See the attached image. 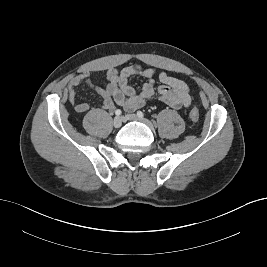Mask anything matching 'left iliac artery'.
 <instances>
[{"label": "left iliac artery", "mask_w": 267, "mask_h": 267, "mask_svg": "<svg viewBox=\"0 0 267 267\" xmlns=\"http://www.w3.org/2000/svg\"><path fill=\"white\" fill-rule=\"evenodd\" d=\"M137 116L140 117V118H143L144 117V113L142 111H138L137 112Z\"/></svg>", "instance_id": "left-iliac-artery-1"}]
</instances>
